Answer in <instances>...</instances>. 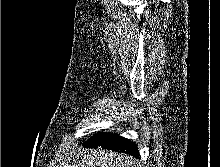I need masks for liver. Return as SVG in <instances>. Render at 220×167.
Masks as SVG:
<instances>
[{
    "label": "liver",
    "instance_id": "obj_1",
    "mask_svg": "<svg viewBox=\"0 0 220 167\" xmlns=\"http://www.w3.org/2000/svg\"><path fill=\"white\" fill-rule=\"evenodd\" d=\"M80 167H139L134 159L120 153L102 149L80 150Z\"/></svg>",
    "mask_w": 220,
    "mask_h": 167
}]
</instances>
